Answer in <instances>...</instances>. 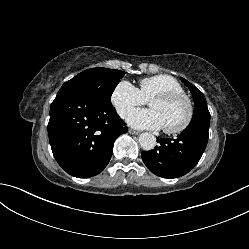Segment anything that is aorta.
Segmentation results:
<instances>
[{
	"label": "aorta",
	"instance_id": "aorta-1",
	"mask_svg": "<svg viewBox=\"0 0 249 249\" xmlns=\"http://www.w3.org/2000/svg\"><path fill=\"white\" fill-rule=\"evenodd\" d=\"M138 142L144 150H152L156 146V137L151 133L143 132L139 135Z\"/></svg>",
	"mask_w": 249,
	"mask_h": 249
}]
</instances>
